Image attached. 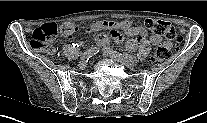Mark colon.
<instances>
[{"mask_svg": "<svg viewBox=\"0 0 207 123\" xmlns=\"http://www.w3.org/2000/svg\"><path fill=\"white\" fill-rule=\"evenodd\" d=\"M145 27L158 35L165 38L162 46L157 48L151 58L152 64H158L166 60L170 51L177 48L181 42V38L177 35L175 29L166 21L157 19H145L143 21ZM78 31V25L75 23H66L58 27L54 23H48L35 29L30 36V45L35 49L46 50L49 53L54 51L52 41L61 32L65 36H73Z\"/></svg>", "mask_w": 207, "mask_h": 123, "instance_id": "obj_1", "label": "colon"}]
</instances>
